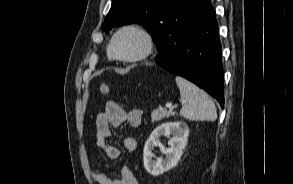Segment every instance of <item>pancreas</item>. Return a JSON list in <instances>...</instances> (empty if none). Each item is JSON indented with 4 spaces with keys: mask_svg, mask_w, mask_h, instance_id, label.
<instances>
[{
    "mask_svg": "<svg viewBox=\"0 0 293 184\" xmlns=\"http://www.w3.org/2000/svg\"><path fill=\"white\" fill-rule=\"evenodd\" d=\"M175 113L171 110H166L163 108L154 109L151 113L152 123H157L158 121L162 120L163 118H169L173 116Z\"/></svg>",
    "mask_w": 293,
    "mask_h": 184,
    "instance_id": "obj_1",
    "label": "pancreas"
}]
</instances>
